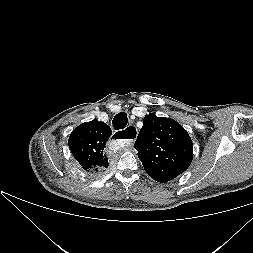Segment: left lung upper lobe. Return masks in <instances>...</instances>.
Instances as JSON below:
<instances>
[{
    "mask_svg": "<svg viewBox=\"0 0 253 253\" xmlns=\"http://www.w3.org/2000/svg\"><path fill=\"white\" fill-rule=\"evenodd\" d=\"M147 174L167 183L191 164L193 144L188 132L170 118L146 115L134 144Z\"/></svg>",
    "mask_w": 253,
    "mask_h": 253,
    "instance_id": "obj_1",
    "label": "left lung upper lobe"
}]
</instances>
